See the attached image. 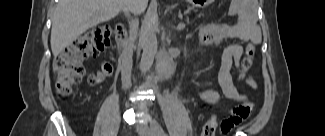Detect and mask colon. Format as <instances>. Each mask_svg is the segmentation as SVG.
<instances>
[{
	"instance_id": "1",
	"label": "colon",
	"mask_w": 325,
	"mask_h": 136,
	"mask_svg": "<svg viewBox=\"0 0 325 136\" xmlns=\"http://www.w3.org/2000/svg\"><path fill=\"white\" fill-rule=\"evenodd\" d=\"M111 29L98 28L79 36L67 46L54 60L53 69L56 76V90L59 95L71 93L73 88L85 75L83 61L96 56L110 44ZM254 48L248 45L240 63V76L245 77L253 61ZM218 126L215 116H212L203 126L201 136H214Z\"/></svg>"
}]
</instances>
